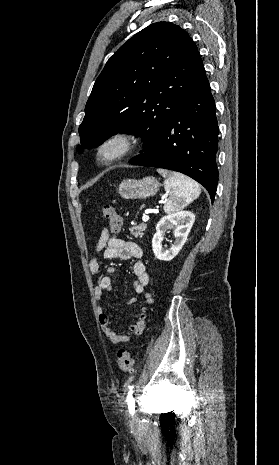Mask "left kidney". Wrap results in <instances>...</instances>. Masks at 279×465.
Wrapping results in <instances>:
<instances>
[{
  "mask_svg": "<svg viewBox=\"0 0 279 465\" xmlns=\"http://www.w3.org/2000/svg\"><path fill=\"white\" fill-rule=\"evenodd\" d=\"M194 221L195 215L192 212L180 210L161 218L156 225V233L152 239L155 257L162 261L172 260L185 244ZM168 229H173L175 236V242L169 249L162 245L165 232Z\"/></svg>",
  "mask_w": 279,
  "mask_h": 465,
  "instance_id": "1",
  "label": "left kidney"
}]
</instances>
